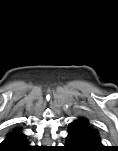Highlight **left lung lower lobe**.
Here are the masks:
<instances>
[{"label":"left lung lower lobe","instance_id":"1","mask_svg":"<svg viewBox=\"0 0 118 151\" xmlns=\"http://www.w3.org/2000/svg\"><path fill=\"white\" fill-rule=\"evenodd\" d=\"M64 151H101L102 148L95 146L90 139L76 129H68L66 146Z\"/></svg>","mask_w":118,"mask_h":151}]
</instances>
